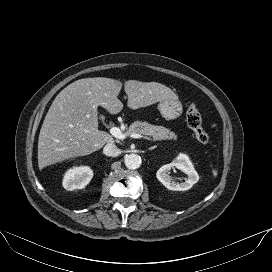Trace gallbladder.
<instances>
[{"mask_svg":"<svg viewBox=\"0 0 272 272\" xmlns=\"http://www.w3.org/2000/svg\"><path fill=\"white\" fill-rule=\"evenodd\" d=\"M101 120H102V121L104 120V117H103V116H101Z\"/></svg>","mask_w":272,"mask_h":272,"instance_id":"1","label":"gallbladder"}]
</instances>
